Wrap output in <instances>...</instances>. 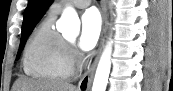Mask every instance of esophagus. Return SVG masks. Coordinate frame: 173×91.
<instances>
[{"label":"esophagus","instance_id":"1","mask_svg":"<svg viewBox=\"0 0 173 91\" xmlns=\"http://www.w3.org/2000/svg\"><path fill=\"white\" fill-rule=\"evenodd\" d=\"M101 13H102V32H101V39L100 45L97 52V55L92 63V65L88 68V70L84 73L82 78L78 83V90L79 91H89L93 82L94 73L96 70V66L100 59L101 53L103 51L107 33V26H108V12H107V0H101Z\"/></svg>","mask_w":173,"mask_h":91}]
</instances>
